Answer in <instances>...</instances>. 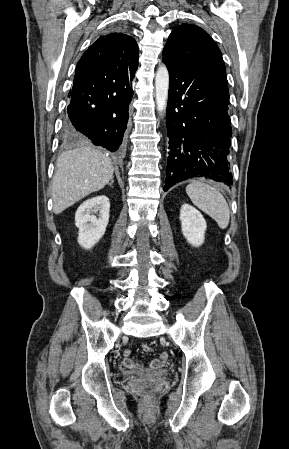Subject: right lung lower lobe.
<instances>
[{
  "instance_id": "obj_1",
  "label": "right lung lower lobe",
  "mask_w": 289,
  "mask_h": 449,
  "mask_svg": "<svg viewBox=\"0 0 289 449\" xmlns=\"http://www.w3.org/2000/svg\"><path fill=\"white\" fill-rule=\"evenodd\" d=\"M133 77L122 76L111 81L74 78L65 119L67 133L73 137H87L95 145L117 151L129 119Z\"/></svg>"
}]
</instances>
